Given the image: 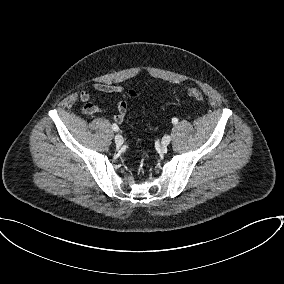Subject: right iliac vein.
<instances>
[{"label":"right iliac vein","mask_w":284,"mask_h":284,"mask_svg":"<svg viewBox=\"0 0 284 284\" xmlns=\"http://www.w3.org/2000/svg\"><path fill=\"white\" fill-rule=\"evenodd\" d=\"M114 139H115V143L117 144V145H122L123 144V137L120 135V134H116L115 135V137H114Z\"/></svg>","instance_id":"obj_1"}]
</instances>
